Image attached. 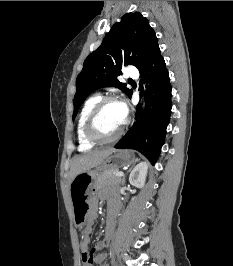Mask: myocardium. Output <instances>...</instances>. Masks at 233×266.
<instances>
[{"instance_id": "obj_1", "label": "myocardium", "mask_w": 233, "mask_h": 266, "mask_svg": "<svg viewBox=\"0 0 233 266\" xmlns=\"http://www.w3.org/2000/svg\"><path fill=\"white\" fill-rule=\"evenodd\" d=\"M110 102H116L119 103V100L114 96H105L102 97L90 110L85 125H84V134L85 137L92 143L95 144H104V143H110L115 140H117L124 131L125 124L123 123L122 126L118 129V131L109 137H103L98 134L96 131V121L98 118V115L102 108Z\"/></svg>"}]
</instances>
